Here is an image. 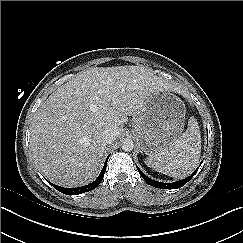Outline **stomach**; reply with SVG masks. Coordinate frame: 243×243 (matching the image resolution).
<instances>
[{"instance_id": "stomach-1", "label": "stomach", "mask_w": 243, "mask_h": 243, "mask_svg": "<svg viewBox=\"0 0 243 243\" xmlns=\"http://www.w3.org/2000/svg\"><path fill=\"white\" fill-rule=\"evenodd\" d=\"M185 105L170 92L153 94L133 123L138 146L147 155L169 147L184 128Z\"/></svg>"}]
</instances>
